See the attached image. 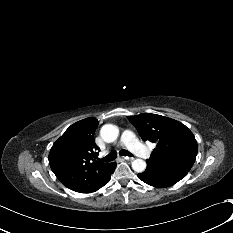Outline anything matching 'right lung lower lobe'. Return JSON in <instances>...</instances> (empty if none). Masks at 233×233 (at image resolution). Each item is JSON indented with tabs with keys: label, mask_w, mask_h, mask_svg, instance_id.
<instances>
[{
	"label": "right lung lower lobe",
	"mask_w": 233,
	"mask_h": 233,
	"mask_svg": "<svg viewBox=\"0 0 233 233\" xmlns=\"http://www.w3.org/2000/svg\"><path fill=\"white\" fill-rule=\"evenodd\" d=\"M115 167H116V163H114L111 171L109 172V174L107 175V177L104 179V181L102 183H100L98 186H96L95 189H94V191H97L99 188L103 187L104 185H106L110 181V176L114 172Z\"/></svg>",
	"instance_id": "1"
}]
</instances>
